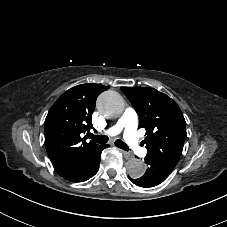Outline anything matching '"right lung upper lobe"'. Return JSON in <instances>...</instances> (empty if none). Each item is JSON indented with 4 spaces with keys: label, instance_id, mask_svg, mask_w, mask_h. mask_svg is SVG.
Returning a JSON list of instances; mask_svg holds the SVG:
<instances>
[{
    "label": "right lung upper lobe",
    "instance_id": "obj_1",
    "mask_svg": "<svg viewBox=\"0 0 227 227\" xmlns=\"http://www.w3.org/2000/svg\"><path fill=\"white\" fill-rule=\"evenodd\" d=\"M107 89L100 84L77 85L63 93L49 110L44 124L45 146L54 169H77L99 146L86 142L84 135L93 128L91 115L96 99Z\"/></svg>",
    "mask_w": 227,
    "mask_h": 227
}]
</instances>
